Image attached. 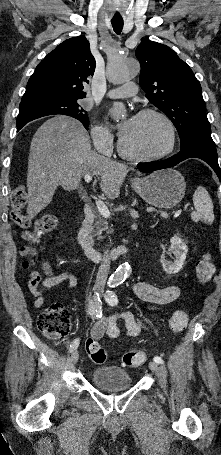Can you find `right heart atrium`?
<instances>
[{
	"label": "right heart atrium",
	"instance_id": "1",
	"mask_svg": "<svg viewBox=\"0 0 221 455\" xmlns=\"http://www.w3.org/2000/svg\"><path fill=\"white\" fill-rule=\"evenodd\" d=\"M91 138L98 153L103 155L111 153L114 138L107 127L101 124L94 125L91 129Z\"/></svg>",
	"mask_w": 221,
	"mask_h": 455
}]
</instances>
